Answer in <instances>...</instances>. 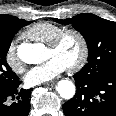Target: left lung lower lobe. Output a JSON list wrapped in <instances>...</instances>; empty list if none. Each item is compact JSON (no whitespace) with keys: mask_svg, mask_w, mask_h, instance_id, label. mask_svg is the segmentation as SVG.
Instances as JSON below:
<instances>
[{"mask_svg":"<svg viewBox=\"0 0 116 116\" xmlns=\"http://www.w3.org/2000/svg\"><path fill=\"white\" fill-rule=\"evenodd\" d=\"M75 96L63 104L65 116H116V73L100 77L74 76Z\"/></svg>","mask_w":116,"mask_h":116,"instance_id":"1","label":"left lung lower lobe"}]
</instances>
